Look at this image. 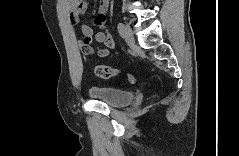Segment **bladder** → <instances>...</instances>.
<instances>
[{"instance_id":"31cf9c89","label":"bladder","mask_w":239,"mask_h":156,"mask_svg":"<svg viewBox=\"0 0 239 156\" xmlns=\"http://www.w3.org/2000/svg\"><path fill=\"white\" fill-rule=\"evenodd\" d=\"M91 98L104 102L112 108H123L134 99V92L126 89L111 87H91L88 90Z\"/></svg>"}]
</instances>
